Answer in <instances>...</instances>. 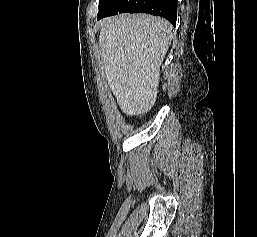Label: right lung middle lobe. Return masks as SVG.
<instances>
[{"mask_svg": "<svg viewBox=\"0 0 257 237\" xmlns=\"http://www.w3.org/2000/svg\"><path fill=\"white\" fill-rule=\"evenodd\" d=\"M111 1H113V0H100V1H99V9L105 7V6L108 5Z\"/></svg>", "mask_w": 257, "mask_h": 237, "instance_id": "1", "label": "right lung middle lobe"}]
</instances>
